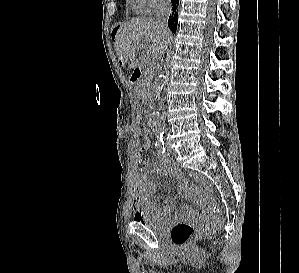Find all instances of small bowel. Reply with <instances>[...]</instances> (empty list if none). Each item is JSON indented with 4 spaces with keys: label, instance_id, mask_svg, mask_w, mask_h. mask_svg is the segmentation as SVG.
<instances>
[{
    "label": "small bowel",
    "instance_id": "small-bowel-1",
    "mask_svg": "<svg viewBox=\"0 0 299 273\" xmlns=\"http://www.w3.org/2000/svg\"><path fill=\"white\" fill-rule=\"evenodd\" d=\"M148 150L141 147V152ZM152 167L164 176H169L179 180L178 190L187 198L195 199V194L192 192L187 180L183 177L181 171L167 157L156 155L152 163ZM135 197L133 201L134 219L140 220L145 215H153L160 219L169 218L175 208L174 200L171 197H165L162 206H157L152 200L154 186L147 173L139 175L135 180ZM194 216L192 208L182 206L179 212L175 215L177 220L190 218Z\"/></svg>",
    "mask_w": 299,
    "mask_h": 273
}]
</instances>
